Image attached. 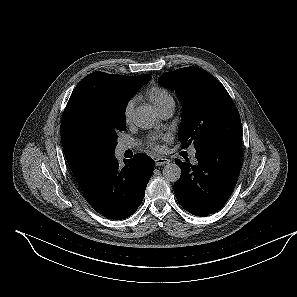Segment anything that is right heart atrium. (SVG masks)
<instances>
[{
  "label": "right heart atrium",
  "instance_id": "right-heart-atrium-1",
  "mask_svg": "<svg viewBox=\"0 0 297 297\" xmlns=\"http://www.w3.org/2000/svg\"><path fill=\"white\" fill-rule=\"evenodd\" d=\"M134 103H135V100L131 99L125 105L124 119H125V122H127V123L131 120L132 112H133V108H134Z\"/></svg>",
  "mask_w": 297,
  "mask_h": 297
}]
</instances>
